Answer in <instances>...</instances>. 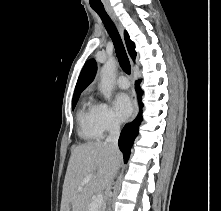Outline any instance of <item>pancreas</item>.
Segmentation results:
<instances>
[{"label":"pancreas","mask_w":221,"mask_h":211,"mask_svg":"<svg viewBox=\"0 0 221 211\" xmlns=\"http://www.w3.org/2000/svg\"><path fill=\"white\" fill-rule=\"evenodd\" d=\"M90 203H91V199H88L86 204H85L84 211H90L89 210ZM97 211H105L104 206H101L100 208H98Z\"/></svg>","instance_id":"cf45deb5"}]
</instances>
